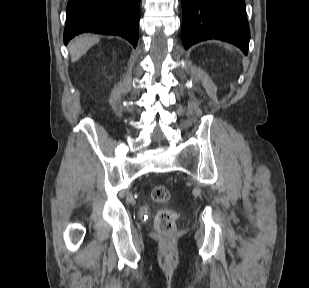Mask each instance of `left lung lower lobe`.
<instances>
[{
	"label": "left lung lower lobe",
	"instance_id": "obj_1",
	"mask_svg": "<svg viewBox=\"0 0 309 288\" xmlns=\"http://www.w3.org/2000/svg\"><path fill=\"white\" fill-rule=\"evenodd\" d=\"M182 41L185 49L193 44L219 39L248 53L250 30L244 0H181Z\"/></svg>",
	"mask_w": 309,
	"mask_h": 288
}]
</instances>
